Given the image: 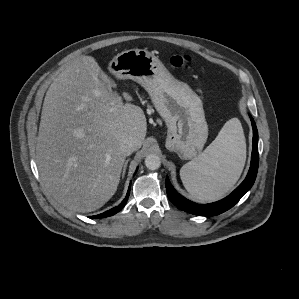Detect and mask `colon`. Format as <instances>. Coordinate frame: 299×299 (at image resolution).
I'll return each mask as SVG.
<instances>
[{
  "label": "colon",
  "mask_w": 299,
  "mask_h": 299,
  "mask_svg": "<svg viewBox=\"0 0 299 299\" xmlns=\"http://www.w3.org/2000/svg\"><path fill=\"white\" fill-rule=\"evenodd\" d=\"M193 58L189 55L176 54L170 58V64L176 68L187 69L191 66Z\"/></svg>",
  "instance_id": "colon-1"
}]
</instances>
